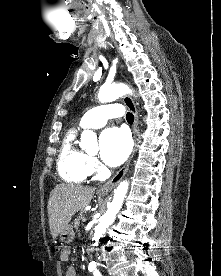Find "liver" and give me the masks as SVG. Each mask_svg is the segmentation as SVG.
I'll return each instance as SVG.
<instances>
[{
  "label": "liver",
  "instance_id": "obj_1",
  "mask_svg": "<svg viewBox=\"0 0 221 276\" xmlns=\"http://www.w3.org/2000/svg\"><path fill=\"white\" fill-rule=\"evenodd\" d=\"M95 187L59 184L52 190L48 200L49 227L53 239L65 229L72 216L90 204Z\"/></svg>",
  "mask_w": 221,
  "mask_h": 276
}]
</instances>
